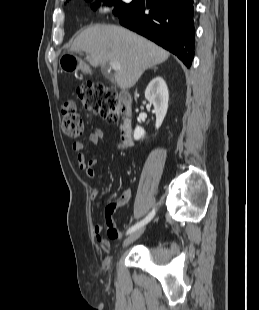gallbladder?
Returning a JSON list of instances; mask_svg holds the SVG:
<instances>
[{"instance_id": "gallbladder-1", "label": "gallbladder", "mask_w": 259, "mask_h": 310, "mask_svg": "<svg viewBox=\"0 0 259 310\" xmlns=\"http://www.w3.org/2000/svg\"><path fill=\"white\" fill-rule=\"evenodd\" d=\"M104 76H105V78L108 79L109 81H113V77L110 76V75H108V74H106L105 72H104Z\"/></svg>"}]
</instances>
